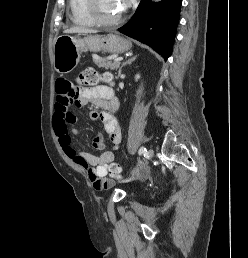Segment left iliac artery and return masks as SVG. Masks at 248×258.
<instances>
[{
	"label": "left iliac artery",
	"mask_w": 248,
	"mask_h": 258,
	"mask_svg": "<svg viewBox=\"0 0 248 258\" xmlns=\"http://www.w3.org/2000/svg\"><path fill=\"white\" fill-rule=\"evenodd\" d=\"M139 155H147V149L142 146V147L139 149Z\"/></svg>",
	"instance_id": "44dca946"
}]
</instances>
